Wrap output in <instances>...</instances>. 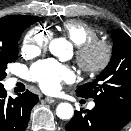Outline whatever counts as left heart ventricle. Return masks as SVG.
<instances>
[{"mask_svg": "<svg viewBox=\"0 0 131 131\" xmlns=\"http://www.w3.org/2000/svg\"><path fill=\"white\" fill-rule=\"evenodd\" d=\"M100 57V54L99 53H95L94 56H93V60L94 61H97Z\"/></svg>", "mask_w": 131, "mask_h": 131, "instance_id": "b2bd125f", "label": "left heart ventricle"}]
</instances>
